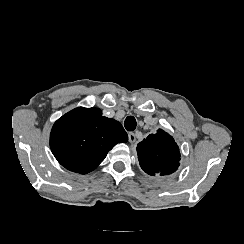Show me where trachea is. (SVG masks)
I'll list each match as a JSON object with an SVG mask.
<instances>
[{"instance_id": "1", "label": "trachea", "mask_w": 244, "mask_h": 244, "mask_svg": "<svg viewBox=\"0 0 244 244\" xmlns=\"http://www.w3.org/2000/svg\"><path fill=\"white\" fill-rule=\"evenodd\" d=\"M136 125H137V121L133 116H128L124 121V126L127 131L135 130Z\"/></svg>"}]
</instances>
